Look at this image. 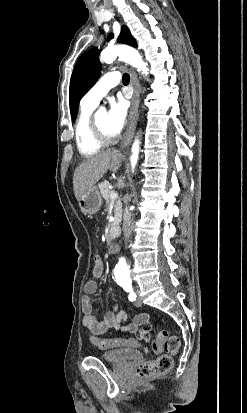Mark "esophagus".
Returning <instances> with one entry per match:
<instances>
[{"label": "esophagus", "mask_w": 247, "mask_h": 413, "mask_svg": "<svg viewBox=\"0 0 247 413\" xmlns=\"http://www.w3.org/2000/svg\"><path fill=\"white\" fill-rule=\"evenodd\" d=\"M131 84L133 86V96L131 99L129 122L126 131L123 135L122 141L120 143V148H124L131 143L135 132L137 120L139 118L138 108L140 100V83L137 74L134 70L131 71Z\"/></svg>", "instance_id": "34e87169"}]
</instances>
